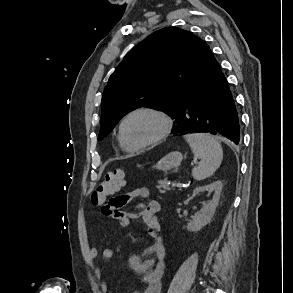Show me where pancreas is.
I'll use <instances>...</instances> for the list:
<instances>
[{"instance_id": "1", "label": "pancreas", "mask_w": 293, "mask_h": 293, "mask_svg": "<svg viewBox=\"0 0 293 293\" xmlns=\"http://www.w3.org/2000/svg\"><path fill=\"white\" fill-rule=\"evenodd\" d=\"M157 188L159 192L162 194L165 193L166 191L172 190V186L169 185L167 178H164L163 180H159Z\"/></svg>"}]
</instances>
